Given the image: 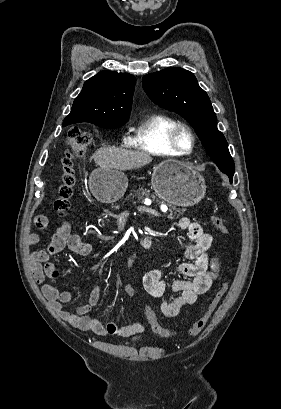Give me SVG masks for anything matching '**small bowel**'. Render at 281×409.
<instances>
[{
    "mask_svg": "<svg viewBox=\"0 0 281 409\" xmlns=\"http://www.w3.org/2000/svg\"><path fill=\"white\" fill-rule=\"evenodd\" d=\"M36 226L27 227V245L33 246L39 243V235H48V217L37 215L35 217ZM178 226L187 232L189 244L183 251L187 261L177 267V271L184 276L173 282L172 289L177 293L172 299L162 304V311L167 317H175L180 311L196 302L197 297L206 293L217 278L220 269V260L217 256H209L208 250L212 245V235L206 232L199 223L182 217ZM150 240V239H149ZM151 246H156L150 240ZM68 249L84 258L92 252V246L86 243L78 234L71 232L68 222L62 225L53 234L52 239L45 249L35 250L31 253L34 263V276L38 284L42 285V290L46 298L53 304L59 317L68 324L82 330L90 331L100 336L129 337L143 332L147 324H151L156 319L151 308H144L145 321H137L127 326H118L114 322L103 324L99 319L90 315L92 309L98 304L100 299V287L95 284L89 294L88 301L80 305L75 313L64 309V305L71 302L73 294L70 291H60L54 286L45 282L46 278L56 279L59 277V270L56 265L50 262V258ZM162 270L158 268L147 271L142 279L144 290L153 297H162L166 291V283L162 279ZM124 292L128 296L135 294L132 285H126Z\"/></svg>",
    "mask_w": 281,
    "mask_h": 409,
    "instance_id": "small-bowel-1",
    "label": "small bowel"
}]
</instances>
